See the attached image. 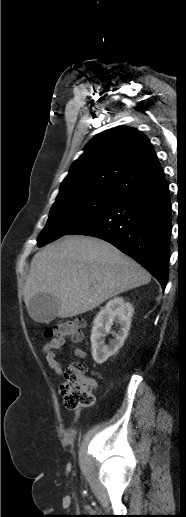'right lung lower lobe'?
I'll use <instances>...</instances> for the list:
<instances>
[{
	"mask_svg": "<svg viewBox=\"0 0 186 517\" xmlns=\"http://www.w3.org/2000/svg\"><path fill=\"white\" fill-rule=\"evenodd\" d=\"M171 231L169 188L162 178L125 193L67 235H88L111 243L145 267L165 289Z\"/></svg>",
	"mask_w": 186,
	"mask_h": 517,
	"instance_id": "obj_1",
	"label": "right lung lower lobe"
}]
</instances>
